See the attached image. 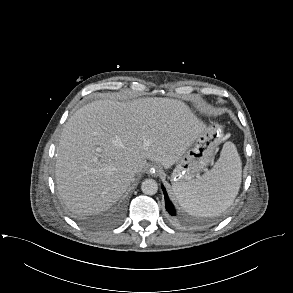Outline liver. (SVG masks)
<instances>
[{"instance_id": "6515ba94", "label": "liver", "mask_w": 293, "mask_h": 293, "mask_svg": "<svg viewBox=\"0 0 293 293\" xmlns=\"http://www.w3.org/2000/svg\"><path fill=\"white\" fill-rule=\"evenodd\" d=\"M184 102L140 98L93 101L66 122L57 148L56 183L66 207L78 215L111 207L135 181L147 159L172 166L204 131Z\"/></svg>"}]
</instances>
